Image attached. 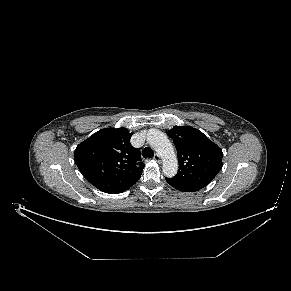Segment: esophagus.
Instances as JSON below:
<instances>
[{
    "label": "esophagus",
    "instance_id": "1",
    "mask_svg": "<svg viewBox=\"0 0 291 291\" xmlns=\"http://www.w3.org/2000/svg\"><path fill=\"white\" fill-rule=\"evenodd\" d=\"M153 159H154L156 162H158V163L161 162V157H160V155H158V154H155V156L153 157Z\"/></svg>",
    "mask_w": 291,
    "mask_h": 291
}]
</instances>
